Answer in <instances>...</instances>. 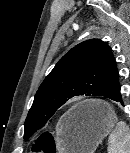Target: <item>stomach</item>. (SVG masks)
Returning a JSON list of instances; mask_svg holds the SVG:
<instances>
[{
    "label": "stomach",
    "mask_w": 130,
    "mask_h": 153,
    "mask_svg": "<svg viewBox=\"0 0 130 153\" xmlns=\"http://www.w3.org/2000/svg\"><path fill=\"white\" fill-rule=\"evenodd\" d=\"M117 123L112 108L99 100L75 105L60 119L56 128L61 153H94Z\"/></svg>",
    "instance_id": "stomach-1"
}]
</instances>
